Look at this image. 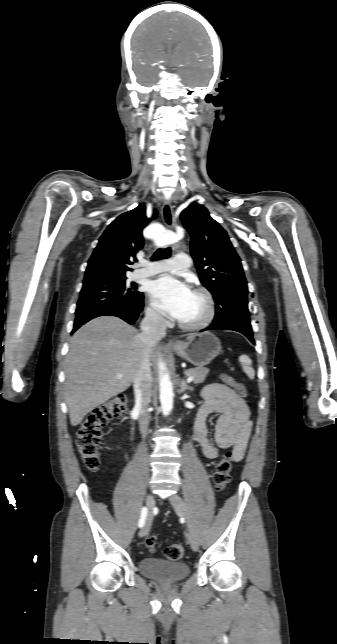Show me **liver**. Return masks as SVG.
Listing matches in <instances>:
<instances>
[{
    "label": "liver",
    "instance_id": "obj_1",
    "mask_svg": "<svg viewBox=\"0 0 337 644\" xmlns=\"http://www.w3.org/2000/svg\"><path fill=\"white\" fill-rule=\"evenodd\" d=\"M144 350L140 333L114 316L97 317L74 333L65 359V400L73 426L130 387Z\"/></svg>",
    "mask_w": 337,
    "mask_h": 644
}]
</instances>
